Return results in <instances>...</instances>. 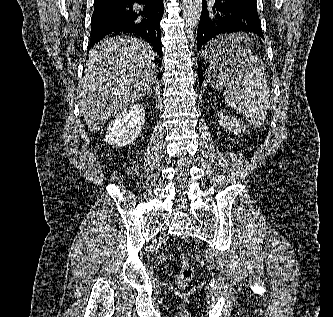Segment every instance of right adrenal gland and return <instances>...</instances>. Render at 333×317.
I'll return each instance as SVG.
<instances>
[{
  "instance_id": "right-adrenal-gland-1",
  "label": "right adrenal gland",
  "mask_w": 333,
  "mask_h": 317,
  "mask_svg": "<svg viewBox=\"0 0 333 317\" xmlns=\"http://www.w3.org/2000/svg\"><path fill=\"white\" fill-rule=\"evenodd\" d=\"M147 93H148V95H151V94H152L151 90H149Z\"/></svg>"
}]
</instances>
